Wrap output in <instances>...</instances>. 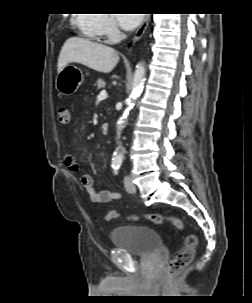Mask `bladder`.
<instances>
[{
  "label": "bladder",
  "instance_id": "1",
  "mask_svg": "<svg viewBox=\"0 0 252 303\" xmlns=\"http://www.w3.org/2000/svg\"><path fill=\"white\" fill-rule=\"evenodd\" d=\"M112 244L134 257H148L161 250V236L157 230L143 225H123L113 229Z\"/></svg>",
  "mask_w": 252,
  "mask_h": 303
}]
</instances>
